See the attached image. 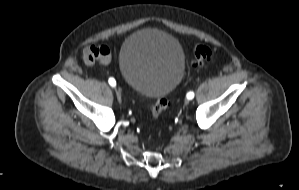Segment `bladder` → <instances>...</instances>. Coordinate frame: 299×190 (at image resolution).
<instances>
[{
  "label": "bladder",
  "instance_id": "31cf9c89",
  "mask_svg": "<svg viewBox=\"0 0 299 190\" xmlns=\"http://www.w3.org/2000/svg\"><path fill=\"white\" fill-rule=\"evenodd\" d=\"M119 68L125 82L137 93L163 98L183 78L185 57L180 43L172 35L142 29L123 43Z\"/></svg>",
  "mask_w": 299,
  "mask_h": 190
}]
</instances>
